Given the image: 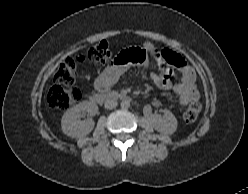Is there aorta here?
<instances>
[{
  "label": "aorta",
  "instance_id": "1",
  "mask_svg": "<svg viewBox=\"0 0 248 194\" xmlns=\"http://www.w3.org/2000/svg\"><path fill=\"white\" fill-rule=\"evenodd\" d=\"M120 106L122 109H128L130 107V100L129 99L122 100Z\"/></svg>",
  "mask_w": 248,
  "mask_h": 194
}]
</instances>
